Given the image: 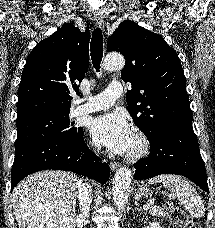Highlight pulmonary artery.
<instances>
[{
	"label": "pulmonary artery",
	"mask_w": 215,
	"mask_h": 228,
	"mask_svg": "<svg viewBox=\"0 0 215 228\" xmlns=\"http://www.w3.org/2000/svg\"><path fill=\"white\" fill-rule=\"evenodd\" d=\"M106 89V91L89 99L87 103L76 106L73 114L82 115L111 107L122 95L123 87L122 84H106ZM78 101L82 102L83 99Z\"/></svg>",
	"instance_id": "pulmonary-artery-1"
}]
</instances>
